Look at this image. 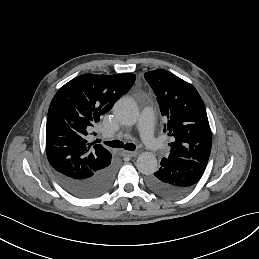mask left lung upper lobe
I'll use <instances>...</instances> for the list:
<instances>
[{
  "label": "left lung upper lobe",
  "instance_id": "5c2ea615",
  "mask_svg": "<svg viewBox=\"0 0 259 259\" xmlns=\"http://www.w3.org/2000/svg\"><path fill=\"white\" fill-rule=\"evenodd\" d=\"M157 96L162 116L167 120L164 132L173 142L168 158H185L207 164L211 153L212 133L205 105L197 90L166 70L144 74Z\"/></svg>",
  "mask_w": 259,
  "mask_h": 259
}]
</instances>
